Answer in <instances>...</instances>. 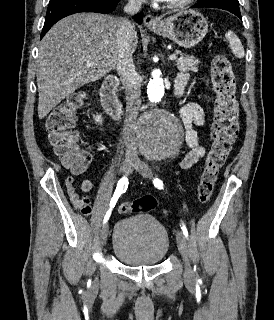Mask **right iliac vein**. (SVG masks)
<instances>
[{"label": "right iliac vein", "instance_id": "right-iliac-vein-1", "mask_svg": "<svg viewBox=\"0 0 274 320\" xmlns=\"http://www.w3.org/2000/svg\"><path fill=\"white\" fill-rule=\"evenodd\" d=\"M136 164V160L133 159V158H126L122 165H121V172L123 174H129L132 170V168L135 166ZM108 234H109V225L108 224H105L102 229H101V232H100V243H101V246H104L106 241H107V238H108Z\"/></svg>", "mask_w": 274, "mask_h": 320}]
</instances>
